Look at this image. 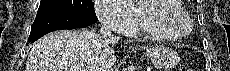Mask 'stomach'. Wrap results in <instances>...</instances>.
<instances>
[{
    "mask_svg": "<svg viewBox=\"0 0 230 71\" xmlns=\"http://www.w3.org/2000/svg\"><path fill=\"white\" fill-rule=\"evenodd\" d=\"M146 55L155 66L164 69L172 68L179 61L177 53L164 46H152L147 49Z\"/></svg>",
    "mask_w": 230,
    "mask_h": 71,
    "instance_id": "stomach-1",
    "label": "stomach"
}]
</instances>
